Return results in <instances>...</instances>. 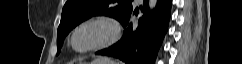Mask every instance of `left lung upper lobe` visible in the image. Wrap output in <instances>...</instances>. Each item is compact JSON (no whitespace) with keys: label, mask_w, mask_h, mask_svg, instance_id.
Returning <instances> with one entry per match:
<instances>
[{"label":"left lung upper lobe","mask_w":242,"mask_h":64,"mask_svg":"<svg viewBox=\"0 0 242 64\" xmlns=\"http://www.w3.org/2000/svg\"><path fill=\"white\" fill-rule=\"evenodd\" d=\"M132 0H67L57 30V47L60 52L65 36L82 21L92 16L105 15L122 21L132 10ZM57 53V54H58Z\"/></svg>","instance_id":"5c2ea615"}]
</instances>
